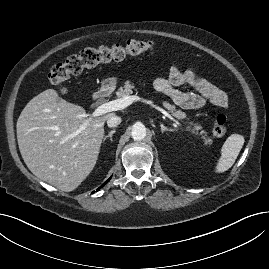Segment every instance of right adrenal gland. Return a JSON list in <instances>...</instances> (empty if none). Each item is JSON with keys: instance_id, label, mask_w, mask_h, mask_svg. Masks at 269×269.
I'll return each mask as SVG.
<instances>
[{"instance_id": "obj_1", "label": "right adrenal gland", "mask_w": 269, "mask_h": 269, "mask_svg": "<svg viewBox=\"0 0 269 269\" xmlns=\"http://www.w3.org/2000/svg\"><path fill=\"white\" fill-rule=\"evenodd\" d=\"M116 132V130H111L108 135H106L104 138H103V141H105L107 138H110V140L112 141V136L113 134Z\"/></svg>"}]
</instances>
